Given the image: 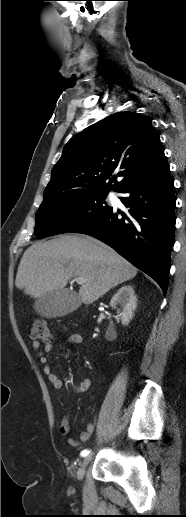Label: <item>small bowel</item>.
<instances>
[{
  "instance_id": "1",
  "label": "small bowel",
  "mask_w": 186,
  "mask_h": 517,
  "mask_svg": "<svg viewBox=\"0 0 186 517\" xmlns=\"http://www.w3.org/2000/svg\"><path fill=\"white\" fill-rule=\"evenodd\" d=\"M68 342L71 345H80L82 343V336L78 333H72L68 336ZM32 349L36 353L37 359L39 362L44 364L43 371L48 375V379L52 384L55 390H61L63 387V382L60 379L59 375L53 373L49 365L46 364V356L45 353L51 351L52 344H47L44 349L41 348L40 343L36 340H32ZM91 386V381L88 378H85L79 384L74 386V391L77 393H82L87 391ZM95 430L94 423H88L85 429L81 432L79 439L76 438H68V444L72 447H78L82 442L88 441L92 436ZM70 431V416L64 415L61 419L60 423V432L62 435H68Z\"/></svg>"
}]
</instances>
